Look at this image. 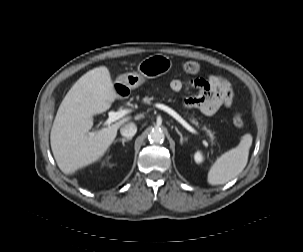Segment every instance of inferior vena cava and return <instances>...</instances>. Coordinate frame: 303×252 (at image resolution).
Returning <instances> with one entry per match:
<instances>
[{"instance_id": "1", "label": "inferior vena cava", "mask_w": 303, "mask_h": 252, "mask_svg": "<svg viewBox=\"0 0 303 252\" xmlns=\"http://www.w3.org/2000/svg\"><path fill=\"white\" fill-rule=\"evenodd\" d=\"M137 132V127L134 123H126L120 128V133L122 136L127 138H132Z\"/></svg>"}]
</instances>
